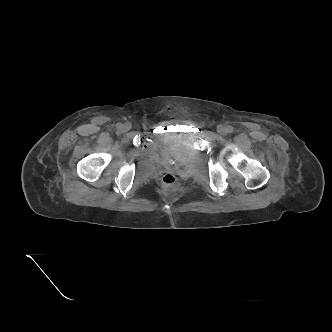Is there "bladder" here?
Returning a JSON list of instances; mask_svg holds the SVG:
<instances>
[{"label": "bladder", "mask_w": 332, "mask_h": 332, "mask_svg": "<svg viewBox=\"0 0 332 332\" xmlns=\"http://www.w3.org/2000/svg\"><path fill=\"white\" fill-rule=\"evenodd\" d=\"M163 159H172L181 162L188 149L187 136L183 134H172L163 137L158 146Z\"/></svg>", "instance_id": "bladder-1"}]
</instances>
